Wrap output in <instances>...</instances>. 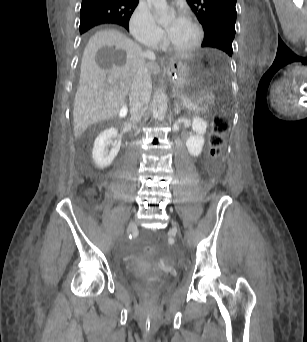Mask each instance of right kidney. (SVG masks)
Instances as JSON below:
<instances>
[{"mask_svg":"<svg viewBox=\"0 0 307 342\" xmlns=\"http://www.w3.org/2000/svg\"><path fill=\"white\" fill-rule=\"evenodd\" d=\"M112 138H119L118 130H116V128L104 130V132H101V134L97 136L94 142L92 158L96 168H99V170H104V168L111 166L120 150L121 140H118V142H111ZM107 144H112L113 146L110 152L106 150Z\"/></svg>","mask_w":307,"mask_h":342,"instance_id":"ca27d5eb","label":"right kidney"}]
</instances>
